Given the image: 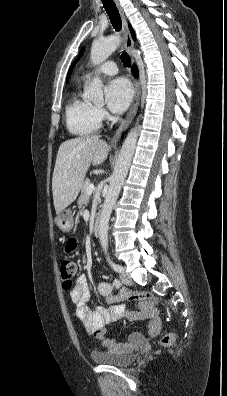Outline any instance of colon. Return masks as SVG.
Segmentation results:
<instances>
[{"label":"colon","instance_id":"1","mask_svg":"<svg viewBox=\"0 0 227 396\" xmlns=\"http://www.w3.org/2000/svg\"><path fill=\"white\" fill-rule=\"evenodd\" d=\"M59 271L61 275L62 286L66 291L72 290L74 287V277L76 273V264L68 258H64L59 262ZM130 299H146L152 304L163 305L164 302L157 296L151 293L131 294ZM176 340V333L169 332L161 338V345L163 347H170Z\"/></svg>","mask_w":227,"mask_h":396}]
</instances>
